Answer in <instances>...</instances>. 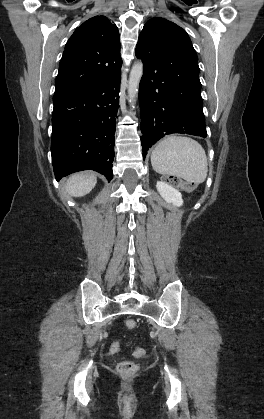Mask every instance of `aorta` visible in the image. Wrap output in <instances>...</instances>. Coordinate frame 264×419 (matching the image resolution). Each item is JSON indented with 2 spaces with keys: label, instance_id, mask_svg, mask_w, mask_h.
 Returning <instances> with one entry per match:
<instances>
[{
  "label": "aorta",
  "instance_id": "1",
  "mask_svg": "<svg viewBox=\"0 0 264 419\" xmlns=\"http://www.w3.org/2000/svg\"><path fill=\"white\" fill-rule=\"evenodd\" d=\"M143 75V63H135L131 69L128 82L129 103L133 106L136 102L141 77Z\"/></svg>",
  "mask_w": 264,
  "mask_h": 419
}]
</instances>
